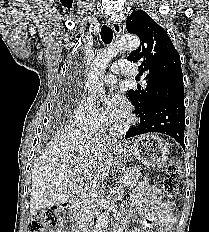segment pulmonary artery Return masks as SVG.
<instances>
[{
    "mask_svg": "<svg viewBox=\"0 0 209 232\" xmlns=\"http://www.w3.org/2000/svg\"><path fill=\"white\" fill-rule=\"evenodd\" d=\"M133 73L131 64L125 60H120L112 65L111 72L107 73L103 80L107 85H113L117 81L118 74L131 75Z\"/></svg>",
    "mask_w": 209,
    "mask_h": 232,
    "instance_id": "e3ab8cb5",
    "label": "pulmonary artery"
}]
</instances>
